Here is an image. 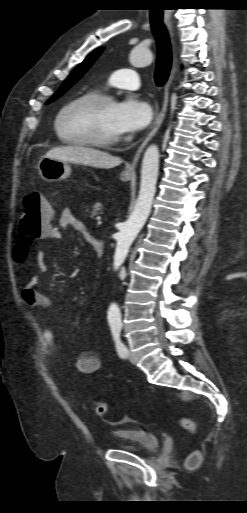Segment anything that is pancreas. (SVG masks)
Returning a JSON list of instances; mask_svg holds the SVG:
<instances>
[{"mask_svg":"<svg viewBox=\"0 0 247 513\" xmlns=\"http://www.w3.org/2000/svg\"><path fill=\"white\" fill-rule=\"evenodd\" d=\"M101 207L102 205L100 203H95L93 204L90 209H91V212H90V218H93L95 217L96 215L99 214V211L101 210Z\"/></svg>","mask_w":247,"mask_h":513,"instance_id":"1","label":"pancreas"}]
</instances>
